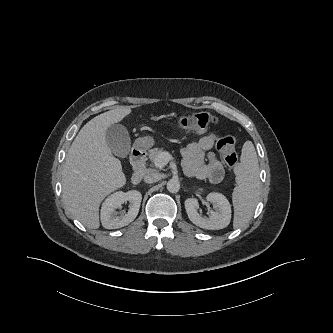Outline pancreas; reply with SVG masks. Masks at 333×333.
<instances>
[{"label":"pancreas","mask_w":333,"mask_h":333,"mask_svg":"<svg viewBox=\"0 0 333 333\" xmlns=\"http://www.w3.org/2000/svg\"><path fill=\"white\" fill-rule=\"evenodd\" d=\"M163 152L164 151L162 149H159V148H153V149L149 150L150 160L155 163L156 158Z\"/></svg>","instance_id":"1"}]
</instances>
